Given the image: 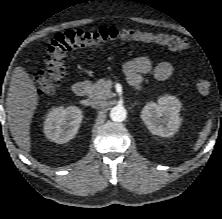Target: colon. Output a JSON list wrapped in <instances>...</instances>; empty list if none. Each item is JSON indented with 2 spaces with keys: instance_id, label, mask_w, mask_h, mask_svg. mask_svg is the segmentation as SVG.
<instances>
[{
  "instance_id": "5ec220e1",
  "label": "colon",
  "mask_w": 222,
  "mask_h": 219,
  "mask_svg": "<svg viewBox=\"0 0 222 219\" xmlns=\"http://www.w3.org/2000/svg\"><path fill=\"white\" fill-rule=\"evenodd\" d=\"M153 42L175 51L188 47L186 39L177 35L154 34L137 29L104 27L96 30H74L58 34L50 43L44 57L45 68L35 74V84L39 91L50 93L64 81L67 71L68 53L79 47L96 46L112 41ZM212 84L208 79H200L196 89L207 95Z\"/></svg>"
}]
</instances>
